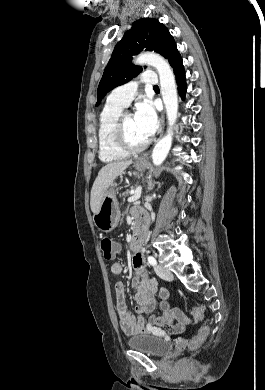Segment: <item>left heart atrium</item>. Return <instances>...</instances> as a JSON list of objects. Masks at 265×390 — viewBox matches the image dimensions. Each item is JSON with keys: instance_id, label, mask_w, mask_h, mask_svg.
<instances>
[{"instance_id": "obj_1", "label": "left heart atrium", "mask_w": 265, "mask_h": 390, "mask_svg": "<svg viewBox=\"0 0 265 390\" xmlns=\"http://www.w3.org/2000/svg\"><path fill=\"white\" fill-rule=\"evenodd\" d=\"M133 118L141 135L148 140L158 126L157 116L152 105L149 102L140 103Z\"/></svg>"}]
</instances>
